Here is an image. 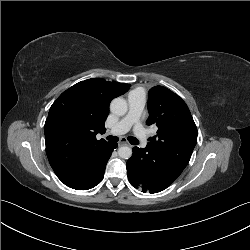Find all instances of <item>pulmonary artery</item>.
Listing matches in <instances>:
<instances>
[{
  "mask_svg": "<svg viewBox=\"0 0 250 250\" xmlns=\"http://www.w3.org/2000/svg\"><path fill=\"white\" fill-rule=\"evenodd\" d=\"M146 103V97L142 91L136 90L129 94V110L127 114L110 130L112 135H121L133 127L134 134L140 140L143 147L147 144V135L145 129L139 123L140 116Z\"/></svg>",
  "mask_w": 250,
  "mask_h": 250,
  "instance_id": "obj_1",
  "label": "pulmonary artery"
}]
</instances>
